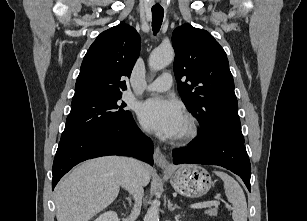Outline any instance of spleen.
<instances>
[{
  "instance_id": "3e777b00",
  "label": "spleen",
  "mask_w": 307,
  "mask_h": 221,
  "mask_svg": "<svg viewBox=\"0 0 307 221\" xmlns=\"http://www.w3.org/2000/svg\"><path fill=\"white\" fill-rule=\"evenodd\" d=\"M224 182L225 194L233 206L234 221H247V203L244 192L238 182L225 172L214 171Z\"/></svg>"
}]
</instances>
